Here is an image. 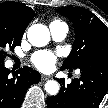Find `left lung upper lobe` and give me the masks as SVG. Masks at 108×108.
<instances>
[{
    "label": "left lung upper lobe",
    "mask_w": 108,
    "mask_h": 108,
    "mask_svg": "<svg viewBox=\"0 0 108 108\" xmlns=\"http://www.w3.org/2000/svg\"><path fill=\"white\" fill-rule=\"evenodd\" d=\"M58 12L74 23L75 42L61 69L98 67L108 60V28L90 11L79 7H63Z\"/></svg>",
    "instance_id": "obj_1"
}]
</instances>
